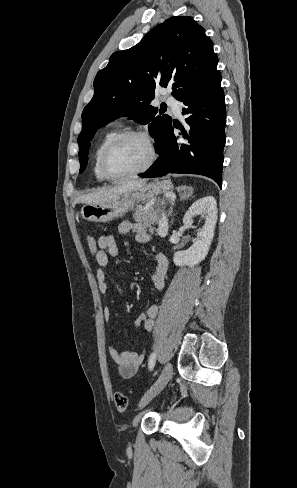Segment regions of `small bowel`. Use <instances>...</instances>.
Instances as JSON below:
<instances>
[{
    "mask_svg": "<svg viewBox=\"0 0 297 488\" xmlns=\"http://www.w3.org/2000/svg\"><path fill=\"white\" fill-rule=\"evenodd\" d=\"M118 232L120 234L133 233L138 243H149L152 239L151 235L139 223L123 221L118 226ZM98 246V252L94 256L98 265L96 280L100 292L105 294L109 287L105 268L109 264V258L118 255V246L114 236L111 234L100 236ZM154 261L155 264L150 275L151 283L155 289L162 290L165 287L168 260L162 253H157L154 255ZM103 312L105 319L108 320L111 317V308L105 306ZM158 312V305L153 304L148 306L146 311L138 316L136 321L137 326L142 327L145 331H152ZM109 353L116 364L119 375L125 379L132 378L137 374L144 359L143 353L118 351L113 344L109 346Z\"/></svg>",
    "mask_w": 297,
    "mask_h": 488,
    "instance_id": "obj_1",
    "label": "small bowel"
}]
</instances>
